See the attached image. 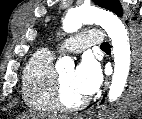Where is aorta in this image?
Wrapping results in <instances>:
<instances>
[{"label": "aorta", "mask_w": 142, "mask_h": 119, "mask_svg": "<svg viewBox=\"0 0 142 119\" xmlns=\"http://www.w3.org/2000/svg\"><path fill=\"white\" fill-rule=\"evenodd\" d=\"M84 23L99 24L107 32L112 42L115 65L108 98L110 102H113L124 91L130 70L131 49L127 30L116 15L92 6L69 9L64 19L63 29L67 33H73ZM73 65V60L64 56L58 61L57 68L63 69Z\"/></svg>", "instance_id": "obj_1"}]
</instances>
